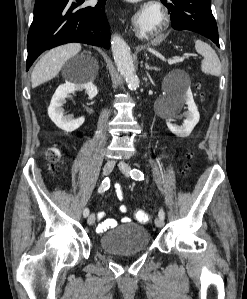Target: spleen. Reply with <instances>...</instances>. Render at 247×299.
Here are the masks:
<instances>
[{
  "label": "spleen",
  "instance_id": "obj_1",
  "mask_svg": "<svg viewBox=\"0 0 247 299\" xmlns=\"http://www.w3.org/2000/svg\"><path fill=\"white\" fill-rule=\"evenodd\" d=\"M195 49L204 59L202 61L201 70L205 74L220 76L221 63L214 49L201 40H195Z\"/></svg>",
  "mask_w": 247,
  "mask_h": 299
}]
</instances>
